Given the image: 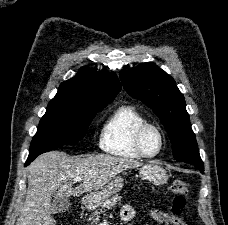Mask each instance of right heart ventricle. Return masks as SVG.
I'll return each instance as SVG.
<instances>
[{
  "label": "right heart ventricle",
  "instance_id": "obj_1",
  "mask_svg": "<svg viewBox=\"0 0 228 225\" xmlns=\"http://www.w3.org/2000/svg\"><path fill=\"white\" fill-rule=\"evenodd\" d=\"M144 115L133 105L116 108L106 119L100 132V148L113 156L140 159L144 156L135 144L138 128L147 123Z\"/></svg>",
  "mask_w": 228,
  "mask_h": 225
}]
</instances>
